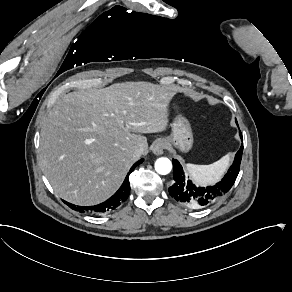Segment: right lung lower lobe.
Returning a JSON list of instances; mask_svg holds the SVG:
<instances>
[{
  "label": "right lung lower lobe",
  "instance_id": "obj_1",
  "mask_svg": "<svg viewBox=\"0 0 292 292\" xmlns=\"http://www.w3.org/2000/svg\"><path fill=\"white\" fill-rule=\"evenodd\" d=\"M144 161V159L139 160L138 162H136L130 169L128 175L126 176L122 186L119 188V190L108 200H106L105 202L95 205V206H75L74 204L68 203L66 201H64L65 204H67L69 207H71L73 210L79 211V212H86V213H103V212H107V211H112L115 208H117L120 204H122L124 201H126V199L129 196L130 193V184L128 181V176L129 174L134 170V168L142 163Z\"/></svg>",
  "mask_w": 292,
  "mask_h": 292
}]
</instances>
